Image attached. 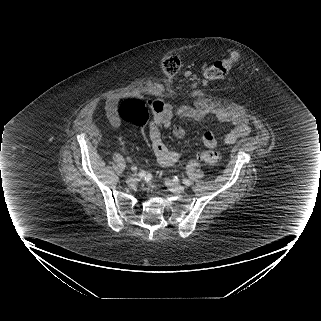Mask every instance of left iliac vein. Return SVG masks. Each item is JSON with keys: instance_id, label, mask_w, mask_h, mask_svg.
Instances as JSON below:
<instances>
[{"instance_id": "obj_1", "label": "left iliac vein", "mask_w": 321, "mask_h": 321, "mask_svg": "<svg viewBox=\"0 0 321 321\" xmlns=\"http://www.w3.org/2000/svg\"><path fill=\"white\" fill-rule=\"evenodd\" d=\"M166 184L169 187V189L175 194H182L185 191L184 186H182L181 184H178L174 181L166 180Z\"/></svg>"}]
</instances>
